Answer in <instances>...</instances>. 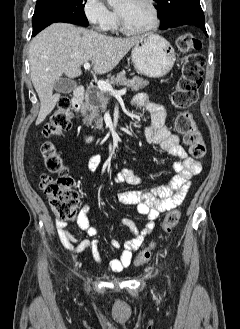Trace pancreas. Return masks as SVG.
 <instances>
[{"label": "pancreas", "mask_w": 240, "mask_h": 329, "mask_svg": "<svg viewBox=\"0 0 240 329\" xmlns=\"http://www.w3.org/2000/svg\"><path fill=\"white\" fill-rule=\"evenodd\" d=\"M107 82L111 85H125L131 88L132 91H139L149 84L139 76H134L132 79H127L125 72H120L116 76H111ZM109 97L104 94L98 87H91L86 92L85 103L82 105L81 112L86 115L83 120L87 125H92L95 129L103 128L102 113L105 112Z\"/></svg>", "instance_id": "obj_1"}]
</instances>
